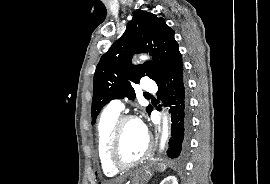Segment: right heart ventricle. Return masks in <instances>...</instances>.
Listing matches in <instances>:
<instances>
[{
    "mask_svg": "<svg viewBox=\"0 0 270 184\" xmlns=\"http://www.w3.org/2000/svg\"><path fill=\"white\" fill-rule=\"evenodd\" d=\"M119 116L120 112L107 108L101 114L97 125L98 156L104 174L109 177L115 176L119 172L108 160L109 140Z\"/></svg>",
    "mask_w": 270,
    "mask_h": 184,
    "instance_id": "1",
    "label": "right heart ventricle"
}]
</instances>
